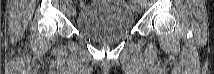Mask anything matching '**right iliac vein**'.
<instances>
[{"label":"right iliac vein","instance_id":"63e3f726","mask_svg":"<svg viewBox=\"0 0 214 74\" xmlns=\"http://www.w3.org/2000/svg\"><path fill=\"white\" fill-rule=\"evenodd\" d=\"M68 14L70 17H73L75 15V8L74 6H69L68 7Z\"/></svg>","mask_w":214,"mask_h":74}]
</instances>
